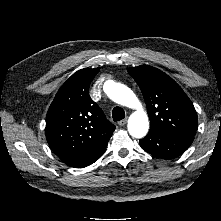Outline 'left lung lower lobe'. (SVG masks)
<instances>
[{
    "mask_svg": "<svg viewBox=\"0 0 221 221\" xmlns=\"http://www.w3.org/2000/svg\"><path fill=\"white\" fill-rule=\"evenodd\" d=\"M194 137L181 135H164L149 131L140 140V146L148 153L163 159H172L181 155L192 143Z\"/></svg>",
    "mask_w": 221,
    "mask_h": 221,
    "instance_id": "obj_1",
    "label": "left lung lower lobe"
}]
</instances>
